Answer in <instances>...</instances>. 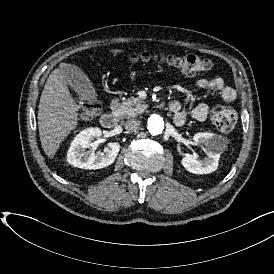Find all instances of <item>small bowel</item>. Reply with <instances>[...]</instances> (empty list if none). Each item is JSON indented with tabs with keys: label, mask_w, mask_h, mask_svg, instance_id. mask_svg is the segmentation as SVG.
<instances>
[{
	"label": "small bowel",
	"mask_w": 274,
	"mask_h": 274,
	"mask_svg": "<svg viewBox=\"0 0 274 274\" xmlns=\"http://www.w3.org/2000/svg\"><path fill=\"white\" fill-rule=\"evenodd\" d=\"M196 85L199 88L209 89L217 92L220 95L222 101L227 104L234 102L237 97L236 91L233 88L227 86L220 76L199 79ZM169 109L174 114V123L177 126L184 125L187 119V114L184 110H182L179 101H170ZM191 114L195 120L205 121L209 114V107L205 103H199L193 108Z\"/></svg>",
	"instance_id": "small-bowel-1"
}]
</instances>
